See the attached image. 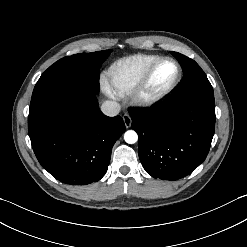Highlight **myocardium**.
<instances>
[{"label":"myocardium","mask_w":247,"mask_h":247,"mask_svg":"<svg viewBox=\"0 0 247 247\" xmlns=\"http://www.w3.org/2000/svg\"><path fill=\"white\" fill-rule=\"evenodd\" d=\"M163 61H171L175 64L177 68L176 77L174 78L172 83L164 90L155 94H147L146 88L148 86L150 78L156 67ZM181 75H182V69L179 62L176 59L169 56L160 57L148 67V69L145 71L139 82L131 91V98L133 102L141 107H151L161 103L166 98H168L172 94V92L176 89V87L178 86L181 80Z\"/></svg>","instance_id":"1"}]
</instances>
